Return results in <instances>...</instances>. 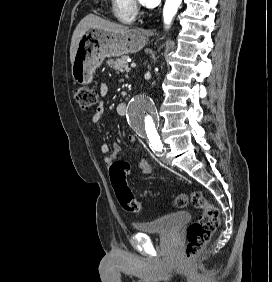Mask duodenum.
Wrapping results in <instances>:
<instances>
[{
    "mask_svg": "<svg viewBox=\"0 0 272 282\" xmlns=\"http://www.w3.org/2000/svg\"><path fill=\"white\" fill-rule=\"evenodd\" d=\"M128 104L127 103H120L121 108H127Z\"/></svg>",
    "mask_w": 272,
    "mask_h": 282,
    "instance_id": "1",
    "label": "duodenum"
}]
</instances>
